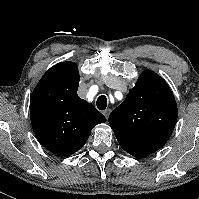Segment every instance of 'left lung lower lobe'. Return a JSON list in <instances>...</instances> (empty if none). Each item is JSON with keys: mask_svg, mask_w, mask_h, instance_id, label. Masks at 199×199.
<instances>
[{"mask_svg": "<svg viewBox=\"0 0 199 199\" xmlns=\"http://www.w3.org/2000/svg\"><path fill=\"white\" fill-rule=\"evenodd\" d=\"M113 131L120 146L129 154L138 158L150 155L163 146V144L156 141L137 137L119 129Z\"/></svg>", "mask_w": 199, "mask_h": 199, "instance_id": "obj_1", "label": "left lung lower lobe"}]
</instances>
